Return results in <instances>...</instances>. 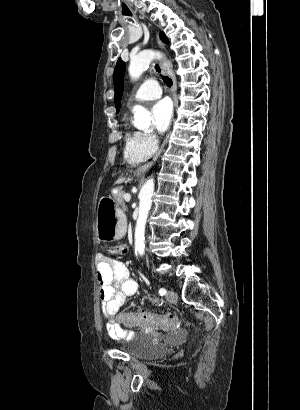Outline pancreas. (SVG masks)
Instances as JSON below:
<instances>
[{
    "label": "pancreas",
    "mask_w": 300,
    "mask_h": 410,
    "mask_svg": "<svg viewBox=\"0 0 300 410\" xmlns=\"http://www.w3.org/2000/svg\"><path fill=\"white\" fill-rule=\"evenodd\" d=\"M124 195H125V193H124V191H122L121 189H119V192L117 193V194H114V199H115V201L119 204V206L122 208V209H126L127 208V206H126V204H125V202H124Z\"/></svg>",
    "instance_id": "cf45deb5"
}]
</instances>
